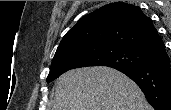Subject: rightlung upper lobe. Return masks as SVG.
<instances>
[{"instance_id":"1","label":"right lung upper lobe","mask_w":171,"mask_h":110,"mask_svg":"<svg viewBox=\"0 0 171 110\" xmlns=\"http://www.w3.org/2000/svg\"><path fill=\"white\" fill-rule=\"evenodd\" d=\"M94 45L128 47L150 55L164 43L140 7L116 2L82 17L65 34L55 55Z\"/></svg>"}]
</instances>
